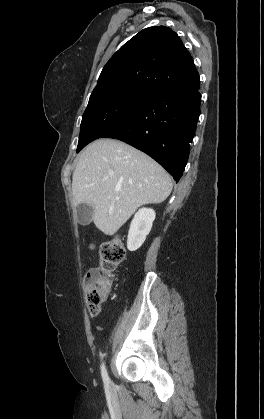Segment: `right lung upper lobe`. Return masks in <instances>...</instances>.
I'll use <instances>...</instances> for the list:
<instances>
[{"instance_id":"right-lung-upper-lobe-1","label":"right lung upper lobe","mask_w":264,"mask_h":419,"mask_svg":"<svg viewBox=\"0 0 264 419\" xmlns=\"http://www.w3.org/2000/svg\"><path fill=\"white\" fill-rule=\"evenodd\" d=\"M199 82L193 59L181 39L165 26L143 29L104 66L94 90L133 85L152 93L189 87Z\"/></svg>"}]
</instances>
